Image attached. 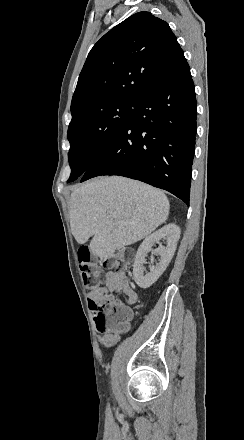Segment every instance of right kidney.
<instances>
[{
	"label": "right kidney",
	"instance_id": "1",
	"mask_svg": "<svg viewBox=\"0 0 244 440\" xmlns=\"http://www.w3.org/2000/svg\"><path fill=\"white\" fill-rule=\"evenodd\" d=\"M180 234V228H178L176 224H168V226H163V228H160V230H157L154 234H150V236H147V238L143 240L141 246H139L137 250L133 266V278L137 286L146 290V288H150L152 284L157 282L158 278H160L161 274L165 272L175 254ZM159 240H166V248H164V246H159L157 250H152V246H154V244H159ZM148 252L157 254V256H161V258L159 264H156V266H149L150 272L144 276V264Z\"/></svg>",
	"mask_w": 244,
	"mask_h": 440
}]
</instances>
